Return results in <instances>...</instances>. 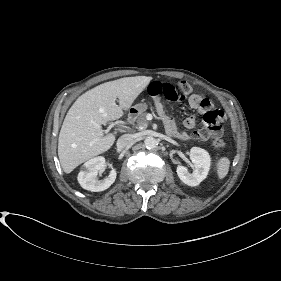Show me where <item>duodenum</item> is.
<instances>
[{
    "mask_svg": "<svg viewBox=\"0 0 281 281\" xmlns=\"http://www.w3.org/2000/svg\"><path fill=\"white\" fill-rule=\"evenodd\" d=\"M135 116H136V113L134 111H130L127 115V121L132 122L133 119L135 118Z\"/></svg>",
    "mask_w": 281,
    "mask_h": 281,
    "instance_id": "410a0bca",
    "label": "duodenum"
}]
</instances>
